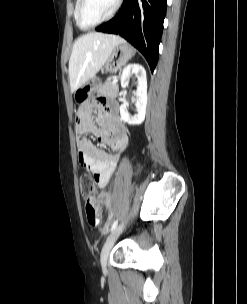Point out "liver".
<instances>
[{"label": "liver", "mask_w": 247, "mask_h": 304, "mask_svg": "<svg viewBox=\"0 0 247 304\" xmlns=\"http://www.w3.org/2000/svg\"><path fill=\"white\" fill-rule=\"evenodd\" d=\"M124 39L112 34L88 33L74 43L69 60L71 92H75L96 73L108 60L113 49Z\"/></svg>", "instance_id": "liver-1"}]
</instances>
